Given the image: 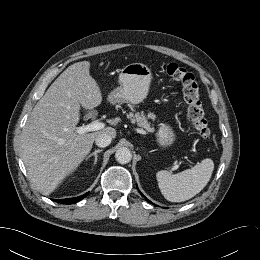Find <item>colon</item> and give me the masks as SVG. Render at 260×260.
<instances>
[{
  "label": "colon",
  "instance_id": "5ec220e1",
  "mask_svg": "<svg viewBox=\"0 0 260 260\" xmlns=\"http://www.w3.org/2000/svg\"><path fill=\"white\" fill-rule=\"evenodd\" d=\"M162 69L165 74L181 85L183 98L187 105V119L192 128L201 138L209 139L210 130L194 75L176 63H166Z\"/></svg>",
  "mask_w": 260,
  "mask_h": 260
}]
</instances>
